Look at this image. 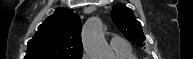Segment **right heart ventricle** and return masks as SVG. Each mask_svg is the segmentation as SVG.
<instances>
[{
  "mask_svg": "<svg viewBox=\"0 0 193 59\" xmlns=\"http://www.w3.org/2000/svg\"><path fill=\"white\" fill-rule=\"evenodd\" d=\"M115 56L117 59H136V56L133 54L132 49L115 51Z\"/></svg>",
  "mask_w": 193,
  "mask_h": 59,
  "instance_id": "e07e8e85",
  "label": "right heart ventricle"
}]
</instances>
